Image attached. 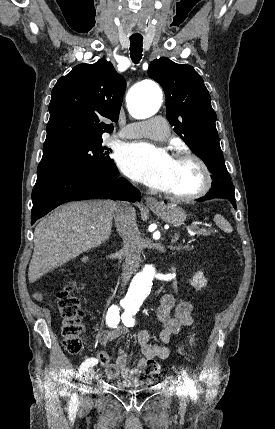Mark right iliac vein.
Instances as JSON below:
<instances>
[{
  "label": "right iliac vein",
  "instance_id": "obj_1",
  "mask_svg": "<svg viewBox=\"0 0 275 429\" xmlns=\"http://www.w3.org/2000/svg\"><path fill=\"white\" fill-rule=\"evenodd\" d=\"M93 376H94V369L93 368H89L87 370L86 374H85L84 382L85 383H89ZM82 399L84 401L88 400V398L86 396L82 397Z\"/></svg>",
  "mask_w": 275,
  "mask_h": 429
}]
</instances>
